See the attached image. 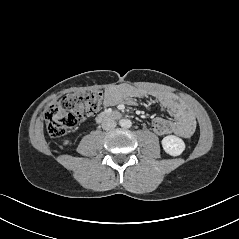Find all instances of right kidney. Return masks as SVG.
I'll use <instances>...</instances> for the list:
<instances>
[{
  "mask_svg": "<svg viewBox=\"0 0 239 239\" xmlns=\"http://www.w3.org/2000/svg\"><path fill=\"white\" fill-rule=\"evenodd\" d=\"M69 143H70L69 140H65V141L63 142V145H68Z\"/></svg>",
  "mask_w": 239,
  "mask_h": 239,
  "instance_id": "1",
  "label": "right kidney"
}]
</instances>
